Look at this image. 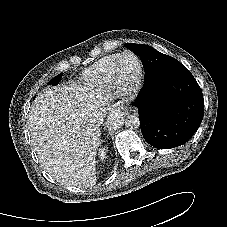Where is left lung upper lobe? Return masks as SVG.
<instances>
[{
    "label": "left lung upper lobe",
    "mask_w": 227,
    "mask_h": 227,
    "mask_svg": "<svg viewBox=\"0 0 227 227\" xmlns=\"http://www.w3.org/2000/svg\"><path fill=\"white\" fill-rule=\"evenodd\" d=\"M125 46L130 50L134 51L140 57V51H142L143 48L148 45L128 43V44H125ZM157 56H158L157 60L154 61L152 64L143 65L144 71H145L144 79H149L166 70L174 69L183 65L175 58H172L158 51H157Z\"/></svg>",
    "instance_id": "5c2ea615"
}]
</instances>
